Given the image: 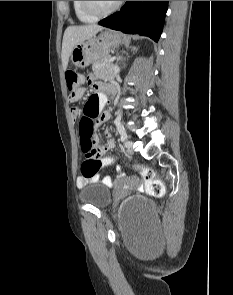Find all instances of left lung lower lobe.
<instances>
[{
    "instance_id": "obj_1",
    "label": "left lung lower lobe",
    "mask_w": 233,
    "mask_h": 295,
    "mask_svg": "<svg viewBox=\"0 0 233 295\" xmlns=\"http://www.w3.org/2000/svg\"><path fill=\"white\" fill-rule=\"evenodd\" d=\"M168 1H126L99 25L124 33L140 34L158 41L162 33Z\"/></svg>"
}]
</instances>
